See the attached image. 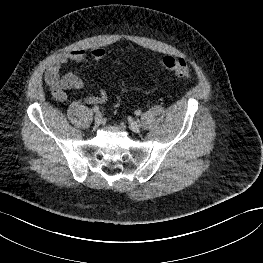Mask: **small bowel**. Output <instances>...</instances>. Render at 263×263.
I'll return each mask as SVG.
<instances>
[{"mask_svg": "<svg viewBox=\"0 0 263 263\" xmlns=\"http://www.w3.org/2000/svg\"><path fill=\"white\" fill-rule=\"evenodd\" d=\"M90 55L97 62L104 58L105 51L102 48H93L90 52L85 49H74L56 55L48 64L45 72L46 84L50 87L52 96L56 101L63 102L67 99V91L79 90L83 87L82 80L75 74L62 76L60 69L67 62H81ZM107 99L105 90H100L97 94L88 95L85 101L88 104H101Z\"/></svg>", "mask_w": 263, "mask_h": 263, "instance_id": "c3829d8e", "label": "small bowel"}]
</instances>
